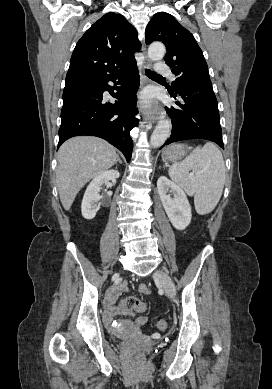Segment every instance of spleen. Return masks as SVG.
Listing matches in <instances>:
<instances>
[{"label": "spleen", "mask_w": 272, "mask_h": 389, "mask_svg": "<svg viewBox=\"0 0 272 389\" xmlns=\"http://www.w3.org/2000/svg\"><path fill=\"white\" fill-rule=\"evenodd\" d=\"M169 176L188 195L194 196L198 214H208L218 204L224 188L226 169L222 153L210 142L198 146L182 162L169 167Z\"/></svg>", "instance_id": "obj_1"}]
</instances>
